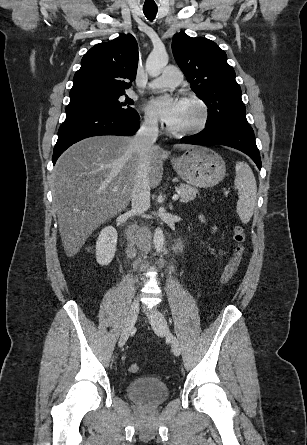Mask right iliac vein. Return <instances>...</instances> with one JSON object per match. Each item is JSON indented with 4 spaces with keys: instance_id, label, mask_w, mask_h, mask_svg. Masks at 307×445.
Wrapping results in <instances>:
<instances>
[{
    "instance_id": "1",
    "label": "right iliac vein",
    "mask_w": 307,
    "mask_h": 445,
    "mask_svg": "<svg viewBox=\"0 0 307 445\" xmlns=\"http://www.w3.org/2000/svg\"><path fill=\"white\" fill-rule=\"evenodd\" d=\"M138 314H139V302L134 301L130 307L127 320L125 322L123 331L121 333V336H120V339L118 342L119 347H122L126 343L130 333L132 332V330L134 328Z\"/></svg>"
}]
</instances>
